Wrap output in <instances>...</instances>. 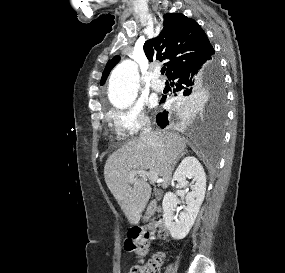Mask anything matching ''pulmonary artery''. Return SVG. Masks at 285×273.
Masks as SVG:
<instances>
[{
	"instance_id": "e3ab8cb5",
	"label": "pulmonary artery",
	"mask_w": 285,
	"mask_h": 273,
	"mask_svg": "<svg viewBox=\"0 0 285 273\" xmlns=\"http://www.w3.org/2000/svg\"><path fill=\"white\" fill-rule=\"evenodd\" d=\"M151 87L155 91H163L165 88V83L160 79V70L155 69L152 73Z\"/></svg>"
}]
</instances>
